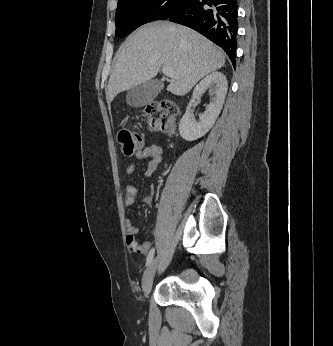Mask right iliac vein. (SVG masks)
<instances>
[{
  "mask_svg": "<svg viewBox=\"0 0 333 346\" xmlns=\"http://www.w3.org/2000/svg\"><path fill=\"white\" fill-rule=\"evenodd\" d=\"M157 260H153L147 267L143 279H142V289L145 294H148L153 285V279L156 272Z\"/></svg>",
  "mask_w": 333,
  "mask_h": 346,
  "instance_id": "1",
  "label": "right iliac vein"
}]
</instances>
